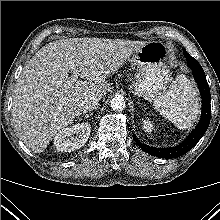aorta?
I'll use <instances>...</instances> for the list:
<instances>
[{
    "mask_svg": "<svg viewBox=\"0 0 220 220\" xmlns=\"http://www.w3.org/2000/svg\"><path fill=\"white\" fill-rule=\"evenodd\" d=\"M125 105V99L122 96L114 97L110 101V106L114 111H122Z\"/></svg>",
    "mask_w": 220,
    "mask_h": 220,
    "instance_id": "1",
    "label": "aorta"
}]
</instances>
